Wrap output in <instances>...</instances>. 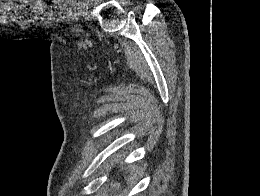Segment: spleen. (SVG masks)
I'll return each mask as SVG.
<instances>
[{
  "label": "spleen",
  "mask_w": 260,
  "mask_h": 196,
  "mask_svg": "<svg viewBox=\"0 0 260 196\" xmlns=\"http://www.w3.org/2000/svg\"><path fill=\"white\" fill-rule=\"evenodd\" d=\"M134 180H135L134 174H130L129 178H127V182H129L131 186H134Z\"/></svg>",
  "instance_id": "1"
}]
</instances>
